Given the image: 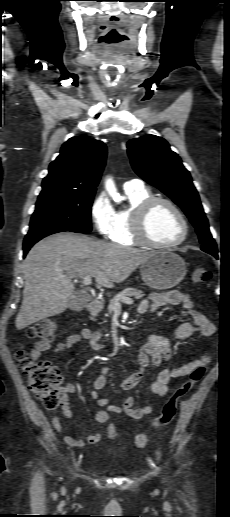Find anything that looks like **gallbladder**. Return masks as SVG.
I'll return each instance as SVG.
<instances>
[{
  "mask_svg": "<svg viewBox=\"0 0 230 517\" xmlns=\"http://www.w3.org/2000/svg\"><path fill=\"white\" fill-rule=\"evenodd\" d=\"M87 301L88 296L83 292L77 291L69 299V307L71 310L79 311L87 304Z\"/></svg>",
  "mask_w": 230,
  "mask_h": 517,
  "instance_id": "1",
  "label": "gallbladder"
}]
</instances>
